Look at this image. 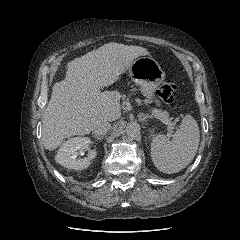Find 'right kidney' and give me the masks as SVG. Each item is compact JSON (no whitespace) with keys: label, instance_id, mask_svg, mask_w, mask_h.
<instances>
[{"label":"right kidney","instance_id":"right-kidney-1","mask_svg":"<svg viewBox=\"0 0 240 240\" xmlns=\"http://www.w3.org/2000/svg\"><path fill=\"white\" fill-rule=\"evenodd\" d=\"M91 141L88 137H74L65 141L59 148L55 160L60 165L74 170H83L90 166L97 152L89 150L87 157L77 158L78 152L87 149Z\"/></svg>","mask_w":240,"mask_h":240}]
</instances>
